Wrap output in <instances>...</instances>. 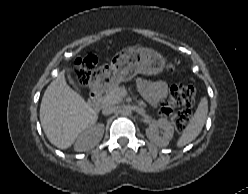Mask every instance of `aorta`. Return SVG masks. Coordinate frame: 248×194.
<instances>
[{"instance_id":"762f6f07","label":"aorta","mask_w":248,"mask_h":194,"mask_svg":"<svg viewBox=\"0 0 248 194\" xmlns=\"http://www.w3.org/2000/svg\"><path fill=\"white\" fill-rule=\"evenodd\" d=\"M121 113L123 116H130L132 113V110L129 106H124L121 110Z\"/></svg>"}]
</instances>
